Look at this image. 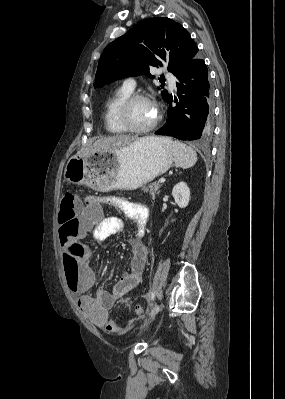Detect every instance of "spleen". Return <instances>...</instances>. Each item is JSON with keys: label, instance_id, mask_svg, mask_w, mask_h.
I'll use <instances>...</instances> for the list:
<instances>
[{"label": "spleen", "instance_id": "1", "mask_svg": "<svg viewBox=\"0 0 285 399\" xmlns=\"http://www.w3.org/2000/svg\"><path fill=\"white\" fill-rule=\"evenodd\" d=\"M169 141L173 147L174 161L176 166L183 169H188L195 165L197 162V154L191 147L178 140L172 141L169 139Z\"/></svg>", "mask_w": 285, "mask_h": 399}]
</instances>
